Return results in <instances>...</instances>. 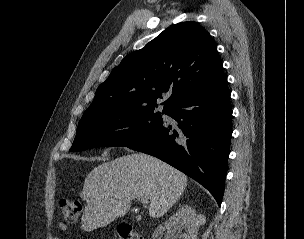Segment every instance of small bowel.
I'll return each mask as SVG.
<instances>
[{
  "label": "small bowel",
  "instance_id": "c3829d8e",
  "mask_svg": "<svg viewBox=\"0 0 304 239\" xmlns=\"http://www.w3.org/2000/svg\"><path fill=\"white\" fill-rule=\"evenodd\" d=\"M58 228H59V230H60L61 232H65V231L67 230V225H66L65 223H63V222H60V223L58 224ZM53 239H60V238L57 237V236H55V237H53Z\"/></svg>",
  "mask_w": 304,
  "mask_h": 239
}]
</instances>
